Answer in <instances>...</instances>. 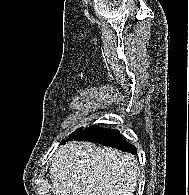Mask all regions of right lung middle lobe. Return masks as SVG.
Masks as SVG:
<instances>
[{
  "label": "right lung middle lobe",
  "instance_id": "obj_1",
  "mask_svg": "<svg viewBox=\"0 0 189 195\" xmlns=\"http://www.w3.org/2000/svg\"><path fill=\"white\" fill-rule=\"evenodd\" d=\"M80 131H82V128H79L76 132H73L72 134L69 135V137H74L75 135H77Z\"/></svg>",
  "mask_w": 189,
  "mask_h": 195
}]
</instances>
